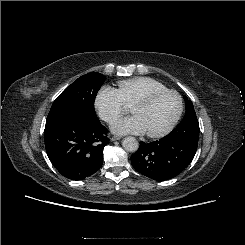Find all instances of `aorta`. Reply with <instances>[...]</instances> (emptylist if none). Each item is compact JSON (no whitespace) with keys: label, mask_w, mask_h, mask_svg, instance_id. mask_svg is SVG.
<instances>
[{"label":"aorta","mask_w":245,"mask_h":245,"mask_svg":"<svg viewBox=\"0 0 245 245\" xmlns=\"http://www.w3.org/2000/svg\"><path fill=\"white\" fill-rule=\"evenodd\" d=\"M123 148L128 152H136L139 147V143L135 137H125L122 141Z\"/></svg>","instance_id":"762f6f07"}]
</instances>
